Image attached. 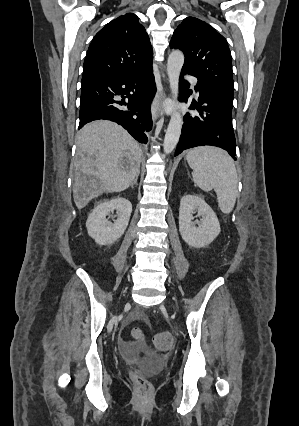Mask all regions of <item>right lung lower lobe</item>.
<instances>
[{"label":"right lung lower lobe","instance_id":"obj_1","mask_svg":"<svg viewBox=\"0 0 299 426\" xmlns=\"http://www.w3.org/2000/svg\"><path fill=\"white\" fill-rule=\"evenodd\" d=\"M155 92L152 66L109 80L82 82L79 129L93 120L107 119L146 144V133L152 129L150 104Z\"/></svg>","mask_w":299,"mask_h":426}]
</instances>
